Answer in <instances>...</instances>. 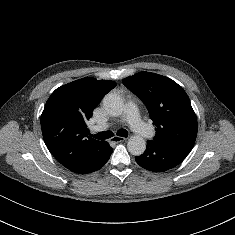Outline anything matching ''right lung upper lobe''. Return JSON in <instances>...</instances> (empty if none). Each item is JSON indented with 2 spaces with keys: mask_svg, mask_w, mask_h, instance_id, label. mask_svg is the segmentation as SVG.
I'll use <instances>...</instances> for the list:
<instances>
[{
  "mask_svg": "<svg viewBox=\"0 0 235 235\" xmlns=\"http://www.w3.org/2000/svg\"><path fill=\"white\" fill-rule=\"evenodd\" d=\"M114 81L85 77L57 88L41 115L44 142L52 155L70 171L81 167L105 141L90 136L86 122Z\"/></svg>",
  "mask_w": 235,
  "mask_h": 235,
  "instance_id": "right-lung-upper-lobe-1",
  "label": "right lung upper lobe"
}]
</instances>
